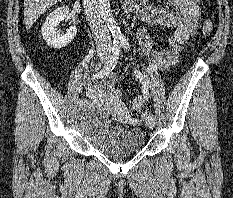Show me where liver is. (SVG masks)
<instances>
[{
	"label": "liver",
	"instance_id": "obj_1",
	"mask_svg": "<svg viewBox=\"0 0 233 198\" xmlns=\"http://www.w3.org/2000/svg\"><path fill=\"white\" fill-rule=\"evenodd\" d=\"M62 0H24L25 27L29 30L34 22L50 7Z\"/></svg>",
	"mask_w": 233,
	"mask_h": 198
}]
</instances>
